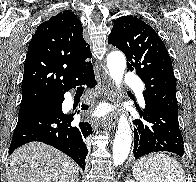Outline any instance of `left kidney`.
Returning a JSON list of instances; mask_svg holds the SVG:
<instances>
[{
	"instance_id": "left-kidney-1",
	"label": "left kidney",
	"mask_w": 196,
	"mask_h": 182,
	"mask_svg": "<svg viewBox=\"0 0 196 182\" xmlns=\"http://www.w3.org/2000/svg\"><path fill=\"white\" fill-rule=\"evenodd\" d=\"M125 182H135V181L132 180V179H128V180H126Z\"/></svg>"
}]
</instances>
